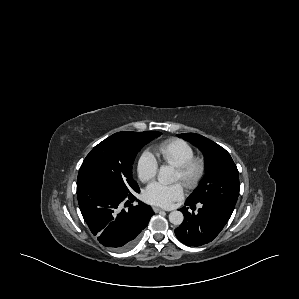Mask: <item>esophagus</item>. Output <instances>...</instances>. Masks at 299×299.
I'll return each instance as SVG.
<instances>
[{"mask_svg":"<svg viewBox=\"0 0 299 299\" xmlns=\"http://www.w3.org/2000/svg\"><path fill=\"white\" fill-rule=\"evenodd\" d=\"M153 211L155 212V213H158V212H160V211H165L164 209H161V208H159V207H153Z\"/></svg>","mask_w":299,"mask_h":299,"instance_id":"1","label":"esophagus"}]
</instances>
